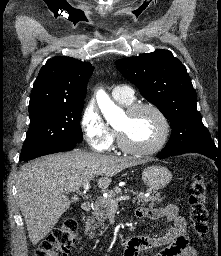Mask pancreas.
Returning a JSON list of instances; mask_svg holds the SVG:
<instances>
[{"label": "pancreas", "instance_id": "obj_1", "mask_svg": "<svg viewBox=\"0 0 221 256\" xmlns=\"http://www.w3.org/2000/svg\"><path fill=\"white\" fill-rule=\"evenodd\" d=\"M121 194V189L119 187H115L113 190L108 192V197H98L95 202L94 209L92 212V216L87 218L86 221V233L91 237L94 234L92 231H95L99 228L100 235L103 234V230L106 229L104 221L107 216V212L110 208L111 200ZM136 195L134 201H137L138 205H150L154 206L157 203H160L164 200L165 197L161 196V193H153L151 196H143L137 192H134Z\"/></svg>", "mask_w": 221, "mask_h": 256}]
</instances>
